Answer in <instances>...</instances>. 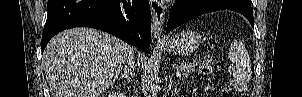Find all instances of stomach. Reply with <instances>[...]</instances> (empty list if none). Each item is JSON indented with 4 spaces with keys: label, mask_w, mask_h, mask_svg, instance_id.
<instances>
[{
    "label": "stomach",
    "mask_w": 302,
    "mask_h": 97,
    "mask_svg": "<svg viewBox=\"0 0 302 97\" xmlns=\"http://www.w3.org/2000/svg\"><path fill=\"white\" fill-rule=\"evenodd\" d=\"M201 41L202 36L199 33L186 30L171 37L165 43V49L177 55L188 56L199 48Z\"/></svg>",
    "instance_id": "stomach-1"
}]
</instances>
